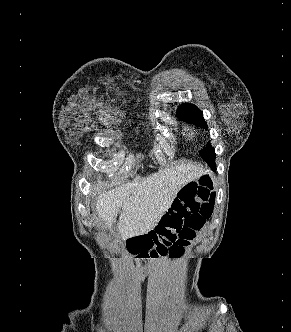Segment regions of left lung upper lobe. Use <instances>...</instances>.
<instances>
[{"instance_id": "5c2ea615", "label": "left lung upper lobe", "mask_w": 291, "mask_h": 332, "mask_svg": "<svg viewBox=\"0 0 291 332\" xmlns=\"http://www.w3.org/2000/svg\"><path fill=\"white\" fill-rule=\"evenodd\" d=\"M177 115L180 119H185L186 121L207 129V124L203 118L202 111L193 104L184 103L179 106ZM199 154L211 168L215 165V150L211 144H208L207 147L200 150Z\"/></svg>"}]
</instances>
